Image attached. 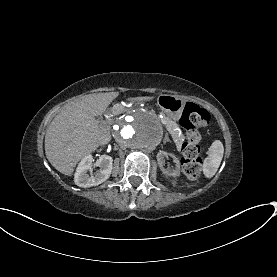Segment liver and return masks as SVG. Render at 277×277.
Segmentation results:
<instances>
[{"instance_id":"6515ba94","label":"liver","mask_w":277,"mask_h":277,"mask_svg":"<svg viewBox=\"0 0 277 277\" xmlns=\"http://www.w3.org/2000/svg\"><path fill=\"white\" fill-rule=\"evenodd\" d=\"M119 92L93 93L58 113L45 134L47 160L60 173L73 176L80 161L111 141V126L95 117L103 114ZM154 96L129 97V102L154 100Z\"/></svg>"}]
</instances>
